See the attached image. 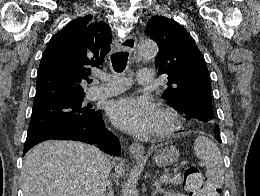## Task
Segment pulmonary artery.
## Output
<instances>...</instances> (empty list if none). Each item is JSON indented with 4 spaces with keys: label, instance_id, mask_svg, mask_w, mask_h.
Returning <instances> with one entry per match:
<instances>
[{
    "label": "pulmonary artery",
    "instance_id": "e3ab8cb5",
    "mask_svg": "<svg viewBox=\"0 0 260 196\" xmlns=\"http://www.w3.org/2000/svg\"><path fill=\"white\" fill-rule=\"evenodd\" d=\"M139 84H152L155 72L153 69H139ZM127 83V76H116L114 81H110L109 85H98L87 90L86 97L88 100H97L105 97L113 96L124 90H131V85H123ZM121 86V87H120Z\"/></svg>",
    "mask_w": 260,
    "mask_h": 196
}]
</instances>
